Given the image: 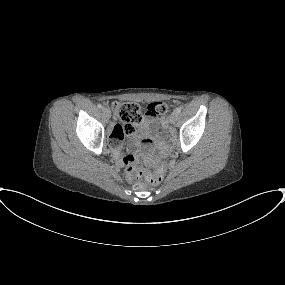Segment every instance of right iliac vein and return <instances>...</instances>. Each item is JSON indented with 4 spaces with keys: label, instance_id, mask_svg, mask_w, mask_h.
Wrapping results in <instances>:
<instances>
[{
    "label": "right iliac vein",
    "instance_id": "63e3f726",
    "mask_svg": "<svg viewBox=\"0 0 285 285\" xmlns=\"http://www.w3.org/2000/svg\"><path fill=\"white\" fill-rule=\"evenodd\" d=\"M103 113L107 118L111 117V111L109 108H103Z\"/></svg>",
    "mask_w": 285,
    "mask_h": 285
}]
</instances>
